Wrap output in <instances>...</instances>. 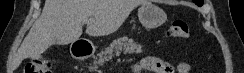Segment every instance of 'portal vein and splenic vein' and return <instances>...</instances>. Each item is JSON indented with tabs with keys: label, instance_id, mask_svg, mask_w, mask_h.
<instances>
[{
	"label": "portal vein and splenic vein",
	"instance_id": "18ae733b",
	"mask_svg": "<svg viewBox=\"0 0 244 73\" xmlns=\"http://www.w3.org/2000/svg\"><path fill=\"white\" fill-rule=\"evenodd\" d=\"M94 21H95L94 19H87V20L85 21V23H86L87 25H90V24H92Z\"/></svg>",
	"mask_w": 244,
	"mask_h": 73
}]
</instances>
